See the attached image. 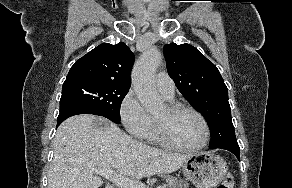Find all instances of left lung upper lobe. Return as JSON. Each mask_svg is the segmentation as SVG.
<instances>
[{
    "mask_svg": "<svg viewBox=\"0 0 292 188\" xmlns=\"http://www.w3.org/2000/svg\"><path fill=\"white\" fill-rule=\"evenodd\" d=\"M167 71L182 95L204 116L211 131L210 148L237 141L228 89L216 66L189 44L164 46Z\"/></svg>",
    "mask_w": 292,
    "mask_h": 188,
    "instance_id": "obj_1",
    "label": "left lung upper lobe"
}]
</instances>
